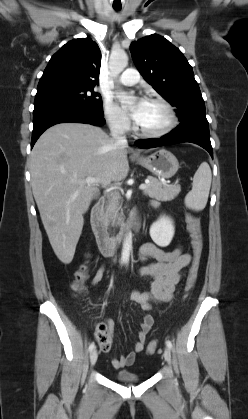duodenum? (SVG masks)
Instances as JSON below:
<instances>
[{
    "label": "duodenum",
    "instance_id": "obj_1",
    "mask_svg": "<svg viewBox=\"0 0 248 419\" xmlns=\"http://www.w3.org/2000/svg\"><path fill=\"white\" fill-rule=\"evenodd\" d=\"M105 207V199L103 197L99 198L94 204L91 216L90 224L91 228L95 234L97 245L100 248L101 252L106 256H111L114 254V243L117 240L123 239V236L115 239L112 238L107 230L105 220L103 217ZM141 224V219L137 214L133 215V224L131 228L132 233L138 232Z\"/></svg>",
    "mask_w": 248,
    "mask_h": 419
}]
</instances>
